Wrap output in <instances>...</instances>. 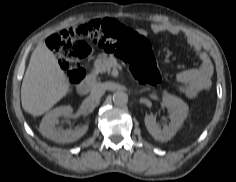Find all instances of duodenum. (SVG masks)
<instances>
[{"label": "duodenum", "instance_id": "410a0bca", "mask_svg": "<svg viewBox=\"0 0 236 182\" xmlns=\"http://www.w3.org/2000/svg\"><path fill=\"white\" fill-rule=\"evenodd\" d=\"M94 81H95V78L94 77H88L86 80H84L82 83L79 84L78 86V93L80 95H86L91 87L93 86L94 84Z\"/></svg>", "mask_w": 236, "mask_h": 182}]
</instances>
